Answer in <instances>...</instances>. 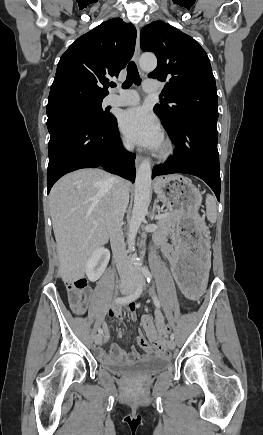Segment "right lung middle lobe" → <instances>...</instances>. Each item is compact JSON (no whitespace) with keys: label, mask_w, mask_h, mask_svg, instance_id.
Segmentation results:
<instances>
[{"label":"right lung middle lobe","mask_w":263,"mask_h":435,"mask_svg":"<svg viewBox=\"0 0 263 435\" xmlns=\"http://www.w3.org/2000/svg\"><path fill=\"white\" fill-rule=\"evenodd\" d=\"M102 99L77 100L47 106V123L55 118L70 115L91 117L100 122L107 121L111 114L103 111Z\"/></svg>","instance_id":"dd1d6c3e"}]
</instances>
